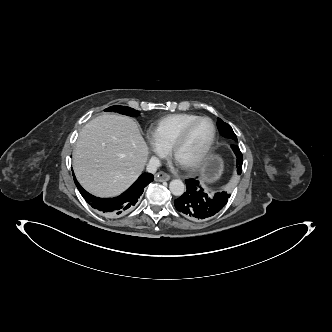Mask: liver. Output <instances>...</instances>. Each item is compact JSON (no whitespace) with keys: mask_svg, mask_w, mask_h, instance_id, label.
I'll list each match as a JSON object with an SVG mask.
<instances>
[{"mask_svg":"<svg viewBox=\"0 0 332 332\" xmlns=\"http://www.w3.org/2000/svg\"><path fill=\"white\" fill-rule=\"evenodd\" d=\"M149 150L129 117L103 114L81 130L73 154L79 183L98 197H115L143 171Z\"/></svg>","mask_w":332,"mask_h":332,"instance_id":"1","label":"liver"}]
</instances>
